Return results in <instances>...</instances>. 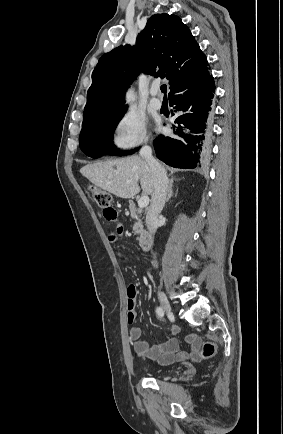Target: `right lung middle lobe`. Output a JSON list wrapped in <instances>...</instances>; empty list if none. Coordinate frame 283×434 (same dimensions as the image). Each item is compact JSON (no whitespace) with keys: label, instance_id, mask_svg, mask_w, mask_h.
Here are the masks:
<instances>
[{"label":"right lung middle lobe","instance_id":"obj_1","mask_svg":"<svg viewBox=\"0 0 283 434\" xmlns=\"http://www.w3.org/2000/svg\"><path fill=\"white\" fill-rule=\"evenodd\" d=\"M125 111L108 116L102 121L81 130L79 144L81 150L90 157L98 158L105 153L118 154L113 146V133ZM136 150L125 152L133 154Z\"/></svg>","mask_w":283,"mask_h":434}]
</instances>
